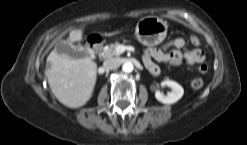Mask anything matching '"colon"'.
I'll use <instances>...</instances> for the list:
<instances>
[{
    "mask_svg": "<svg viewBox=\"0 0 247 145\" xmlns=\"http://www.w3.org/2000/svg\"><path fill=\"white\" fill-rule=\"evenodd\" d=\"M208 71V66L206 64H203L199 67V73L200 74H206ZM204 85V80L201 77L195 78L191 82V87L193 89H199Z\"/></svg>",
    "mask_w": 247,
    "mask_h": 145,
    "instance_id": "obj_1",
    "label": "colon"
}]
</instances>
